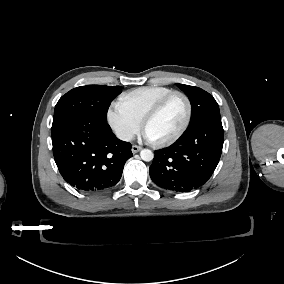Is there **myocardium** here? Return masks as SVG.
Segmentation results:
<instances>
[{
    "instance_id": "myocardium-1",
    "label": "myocardium",
    "mask_w": 284,
    "mask_h": 284,
    "mask_svg": "<svg viewBox=\"0 0 284 284\" xmlns=\"http://www.w3.org/2000/svg\"><path fill=\"white\" fill-rule=\"evenodd\" d=\"M177 96H181L185 102H186V106H187V112H186V116L185 119L181 125V127L179 128V130L173 134L171 137L163 140V141H154V144L156 146L159 147H164L167 145H170L172 143H174L175 141H177L183 134L184 132L187 130L191 118H192V103L190 98L183 92L180 91H174L171 94H168L167 96H165L163 99H161L156 105H154L143 117L142 119V129L145 128L146 123H148L150 120H152L153 118H155L166 106L167 104L175 97Z\"/></svg>"
}]
</instances>
